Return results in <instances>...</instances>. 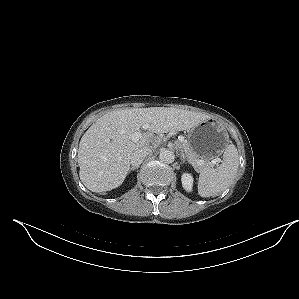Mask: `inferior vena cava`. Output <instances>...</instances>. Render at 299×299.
Listing matches in <instances>:
<instances>
[{
	"mask_svg": "<svg viewBox=\"0 0 299 299\" xmlns=\"http://www.w3.org/2000/svg\"><path fill=\"white\" fill-rule=\"evenodd\" d=\"M151 152H152V149L148 148V147L136 150L131 155V158H130L131 165L134 167H138L143 162L145 157L148 156Z\"/></svg>",
	"mask_w": 299,
	"mask_h": 299,
	"instance_id": "602c4592",
	"label": "inferior vena cava"
}]
</instances>
